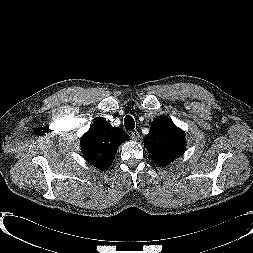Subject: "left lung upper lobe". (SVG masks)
<instances>
[{
  "label": "left lung upper lobe",
  "instance_id": "1",
  "mask_svg": "<svg viewBox=\"0 0 253 253\" xmlns=\"http://www.w3.org/2000/svg\"><path fill=\"white\" fill-rule=\"evenodd\" d=\"M146 146L151 158L159 166H166L178 158L185 149L183 131L166 117L156 118L150 132L145 136Z\"/></svg>",
  "mask_w": 253,
  "mask_h": 253
}]
</instances>
